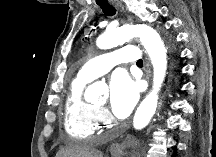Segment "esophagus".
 Wrapping results in <instances>:
<instances>
[{
    "label": "esophagus",
    "mask_w": 216,
    "mask_h": 157,
    "mask_svg": "<svg viewBox=\"0 0 216 157\" xmlns=\"http://www.w3.org/2000/svg\"><path fill=\"white\" fill-rule=\"evenodd\" d=\"M110 3L115 7L117 8L119 11H123L124 8L122 6V4L117 1V0H110ZM149 73H150V64L149 62L147 61L146 62V79L148 80L149 79ZM110 150L111 151H119L120 150V145L119 144H113L111 147H110Z\"/></svg>",
    "instance_id": "esophagus-1"
}]
</instances>
